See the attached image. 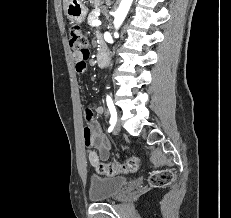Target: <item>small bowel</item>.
<instances>
[{
    "mask_svg": "<svg viewBox=\"0 0 231 218\" xmlns=\"http://www.w3.org/2000/svg\"><path fill=\"white\" fill-rule=\"evenodd\" d=\"M74 64L78 73H83L86 70L87 56H82L74 52ZM94 113L102 114L104 108L102 106H95L92 108ZM88 117H91L92 112L87 111ZM83 142L86 148H89L87 157L92 166L100 164L101 160H107L110 155V145L100 128L95 124H88L82 131Z\"/></svg>",
    "mask_w": 231,
    "mask_h": 218,
    "instance_id": "c3829d8e",
    "label": "small bowel"
}]
</instances>
